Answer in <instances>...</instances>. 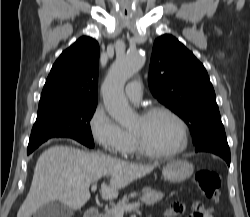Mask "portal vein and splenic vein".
Wrapping results in <instances>:
<instances>
[{
    "mask_svg": "<svg viewBox=\"0 0 250 217\" xmlns=\"http://www.w3.org/2000/svg\"><path fill=\"white\" fill-rule=\"evenodd\" d=\"M96 189H97V185L93 184L92 187H91V190L95 191ZM139 206H140L139 202L131 203V204L126 205L123 208L114 210V214H115L116 217H123V214H124L125 211L135 210Z\"/></svg>",
    "mask_w": 250,
    "mask_h": 217,
    "instance_id": "18ae733b",
    "label": "portal vein and splenic vein"
}]
</instances>
